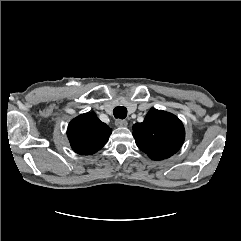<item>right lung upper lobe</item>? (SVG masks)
Masks as SVG:
<instances>
[{
  "label": "right lung upper lobe",
  "instance_id": "cb5924a9",
  "mask_svg": "<svg viewBox=\"0 0 241 241\" xmlns=\"http://www.w3.org/2000/svg\"><path fill=\"white\" fill-rule=\"evenodd\" d=\"M111 129L94 112L81 114L68 126L67 136L72 149L80 155H91L108 141Z\"/></svg>",
  "mask_w": 241,
  "mask_h": 241
}]
</instances>
